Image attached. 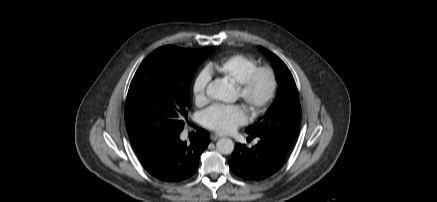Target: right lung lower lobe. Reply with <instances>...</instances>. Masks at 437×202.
<instances>
[{
  "label": "right lung lower lobe",
  "mask_w": 437,
  "mask_h": 202,
  "mask_svg": "<svg viewBox=\"0 0 437 202\" xmlns=\"http://www.w3.org/2000/svg\"><path fill=\"white\" fill-rule=\"evenodd\" d=\"M176 131L148 149L138 153L143 167L165 182H180L193 176L198 169L199 156L210 143L207 131L198 129L190 144L180 140Z\"/></svg>",
  "instance_id": "1"
}]
</instances>
